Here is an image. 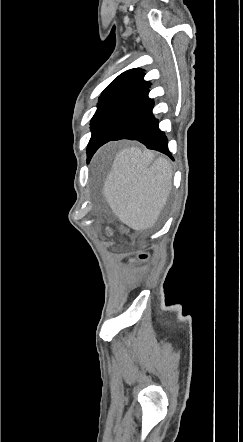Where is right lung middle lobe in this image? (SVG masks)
I'll list each match as a JSON object with an SVG mask.
<instances>
[{
    "instance_id": "right-lung-middle-lobe-1",
    "label": "right lung middle lobe",
    "mask_w": 243,
    "mask_h": 442,
    "mask_svg": "<svg viewBox=\"0 0 243 442\" xmlns=\"http://www.w3.org/2000/svg\"><path fill=\"white\" fill-rule=\"evenodd\" d=\"M123 98L122 97H100L97 111L95 112L93 118L91 119V131L92 135L101 124L108 113L113 109V107L118 104Z\"/></svg>"
}]
</instances>
